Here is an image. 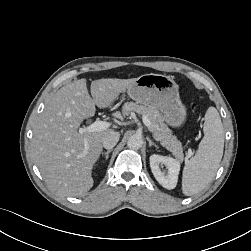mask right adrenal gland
<instances>
[{
	"instance_id": "2a0ac1e0",
	"label": "right adrenal gland",
	"mask_w": 251,
	"mask_h": 251,
	"mask_svg": "<svg viewBox=\"0 0 251 251\" xmlns=\"http://www.w3.org/2000/svg\"><path fill=\"white\" fill-rule=\"evenodd\" d=\"M112 152V149L107 150L106 152H102V156H105V161H107L109 154Z\"/></svg>"
}]
</instances>
